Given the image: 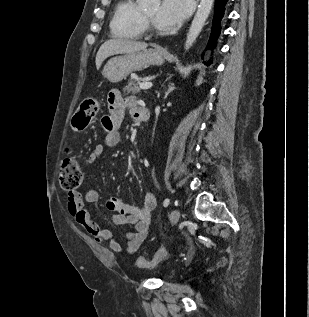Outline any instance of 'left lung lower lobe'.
<instances>
[{
  "label": "left lung lower lobe",
  "mask_w": 309,
  "mask_h": 317,
  "mask_svg": "<svg viewBox=\"0 0 309 317\" xmlns=\"http://www.w3.org/2000/svg\"><path fill=\"white\" fill-rule=\"evenodd\" d=\"M228 1L229 0H215V12H214V18H213L212 31H211L210 39L207 45L208 49H213L216 46V40L221 30L220 23L224 15L226 14ZM205 64L210 65V61Z\"/></svg>",
  "instance_id": "1"
}]
</instances>
